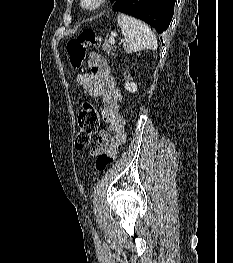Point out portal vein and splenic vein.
Wrapping results in <instances>:
<instances>
[{
  "label": "portal vein and splenic vein",
  "instance_id": "18ae733b",
  "mask_svg": "<svg viewBox=\"0 0 233 263\" xmlns=\"http://www.w3.org/2000/svg\"><path fill=\"white\" fill-rule=\"evenodd\" d=\"M125 40L124 39H121V42H124ZM109 42L111 44H115V39H114V35H111V37L109 38Z\"/></svg>",
  "mask_w": 233,
  "mask_h": 263
}]
</instances>
